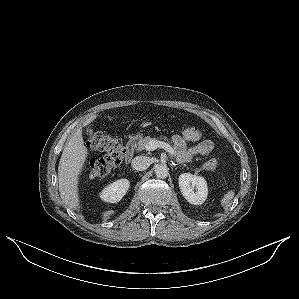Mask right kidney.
<instances>
[{
  "label": "right kidney",
  "mask_w": 299,
  "mask_h": 299,
  "mask_svg": "<svg viewBox=\"0 0 299 299\" xmlns=\"http://www.w3.org/2000/svg\"><path fill=\"white\" fill-rule=\"evenodd\" d=\"M130 182L127 179H119L106 186L100 193V198L109 203L119 202L129 189Z\"/></svg>",
  "instance_id": "ca27d5eb"
}]
</instances>
